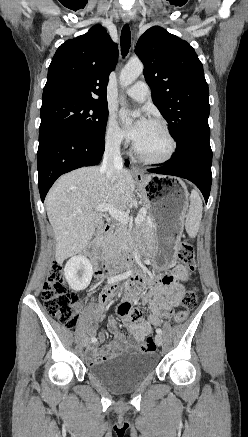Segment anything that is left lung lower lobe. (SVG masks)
Wrapping results in <instances>:
<instances>
[{"instance_id": "left-lung-lower-lobe-1", "label": "left lung lower lobe", "mask_w": 248, "mask_h": 437, "mask_svg": "<svg viewBox=\"0 0 248 437\" xmlns=\"http://www.w3.org/2000/svg\"><path fill=\"white\" fill-rule=\"evenodd\" d=\"M209 139V127L192 131L177 145L176 152L166 165L148 171L190 180L201 190L207 203L212 183V150Z\"/></svg>"}]
</instances>
